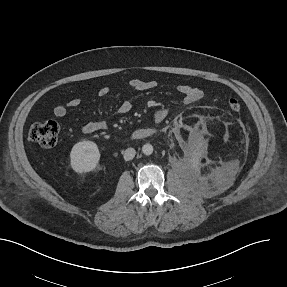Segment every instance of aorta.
Instances as JSON below:
<instances>
[{"mask_svg":"<svg viewBox=\"0 0 287 287\" xmlns=\"http://www.w3.org/2000/svg\"><path fill=\"white\" fill-rule=\"evenodd\" d=\"M142 152L145 155H151L153 153V146L151 144L143 145Z\"/></svg>","mask_w":287,"mask_h":287,"instance_id":"1","label":"aorta"}]
</instances>
